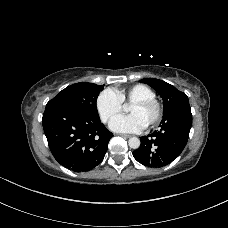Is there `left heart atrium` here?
<instances>
[{"instance_id": "1", "label": "left heart atrium", "mask_w": 228, "mask_h": 228, "mask_svg": "<svg viewBox=\"0 0 228 228\" xmlns=\"http://www.w3.org/2000/svg\"><path fill=\"white\" fill-rule=\"evenodd\" d=\"M109 126L111 130L120 133H138L146 127L138 116L132 114L114 117Z\"/></svg>"}]
</instances>
